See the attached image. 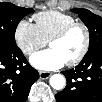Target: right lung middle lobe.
Listing matches in <instances>:
<instances>
[{
  "label": "right lung middle lobe",
  "mask_w": 102,
  "mask_h": 102,
  "mask_svg": "<svg viewBox=\"0 0 102 102\" xmlns=\"http://www.w3.org/2000/svg\"><path fill=\"white\" fill-rule=\"evenodd\" d=\"M34 12L32 8L18 7L10 2L0 3V47L15 48V30L20 20Z\"/></svg>",
  "instance_id": "right-lung-middle-lobe-1"
}]
</instances>
